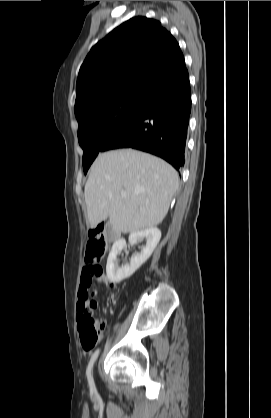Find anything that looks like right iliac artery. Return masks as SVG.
I'll use <instances>...</instances> for the list:
<instances>
[{
  "mask_svg": "<svg viewBox=\"0 0 271 418\" xmlns=\"http://www.w3.org/2000/svg\"><path fill=\"white\" fill-rule=\"evenodd\" d=\"M98 355H99V349H97L93 353V355L90 359V362L88 364L87 370H86V376H87L88 383H89L91 391L95 390V385H94V381H93V377H92V368H93L94 362L96 361Z\"/></svg>",
  "mask_w": 271,
  "mask_h": 418,
  "instance_id": "1",
  "label": "right iliac artery"
}]
</instances>
